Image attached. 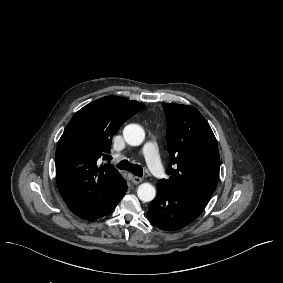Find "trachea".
<instances>
[{"instance_id": "obj_1", "label": "trachea", "mask_w": 283, "mask_h": 283, "mask_svg": "<svg viewBox=\"0 0 283 283\" xmlns=\"http://www.w3.org/2000/svg\"><path fill=\"white\" fill-rule=\"evenodd\" d=\"M116 166L121 169V170H127L131 173H133L136 176H143V168L140 165L137 164H131L129 161L127 160H122L121 162H119L118 164H116Z\"/></svg>"}]
</instances>
